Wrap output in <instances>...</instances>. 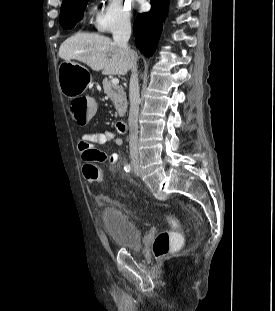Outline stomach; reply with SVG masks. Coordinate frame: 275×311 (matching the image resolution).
<instances>
[{
    "mask_svg": "<svg viewBox=\"0 0 275 311\" xmlns=\"http://www.w3.org/2000/svg\"><path fill=\"white\" fill-rule=\"evenodd\" d=\"M92 82V76L82 65L64 61L58 68V84L63 95L69 98L82 95Z\"/></svg>",
    "mask_w": 275,
    "mask_h": 311,
    "instance_id": "1",
    "label": "stomach"
}]
</instances>
